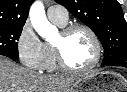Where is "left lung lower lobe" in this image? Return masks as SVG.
I'll return each mask as SVG.
<instances>
[{
	"instance_id": "0a47b994",
	"label": "left lung lower lobe",
	"mask_w": 127,
	"mask_h": 92,
	"mask_svg": "<svg viewBox=\"0 0 127 92\" xmlns=\"http://www.w3.org/2000/svg\"><path fill=\"white\" fill-rule=\"evenodd\" d=\"M102 66H123L127 68V51L119 52L110 59H103Z\"/></svg>"
}]
</instances>
